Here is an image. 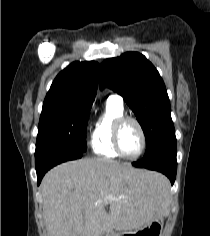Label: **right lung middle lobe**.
I'll return each mask as SVG.
<instances>
[{
  "mask_svg": "<svg viewBox=\"0 0 210 236\" xmlns=\"http://www.w3.org/2000/svg\"><path fill=\"white\" fill-rule=\"evenodd\" d=\"M90 109L65 103L43 105L36 151L63 148L84 153L87 150L86 128Z\"/></svg>",
  "mask_w": 210,
  "mask_h": 236,
  "instance_id": "obj_1",
  "label": "right lung middle lobe"
}]
</instances>
